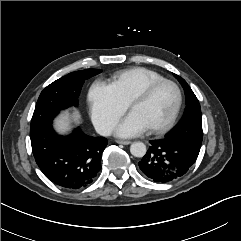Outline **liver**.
<instances>
[{
  "label": "liver",
  "mask_w": 241,
  "mask_h": 241,
  "mask_svg": "<svg viewBox=\"0 0 241 241\" xmlns=\"http://www.w3.org/2000/svg\"><path fill=\"white\" fill-rule=\"evenodd\" d=\"M78 119L79 115L76 112L70 114L68 111H66L55 120V128L58 132L64 133L69 129V125L72 120L75 121Z\"/></svg>",
  "instance_id": "liver-1"
}]
</instances>
